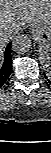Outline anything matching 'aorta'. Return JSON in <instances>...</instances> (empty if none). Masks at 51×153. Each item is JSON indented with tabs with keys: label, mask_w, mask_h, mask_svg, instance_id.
<instances>
[{
	"label": "aorta",
	"mask_w": 51,
	"mask_h": 153,
	"mask_svg": "<svg viewBox=\"0 0 51 153\" xmlns=\"http://www.w3.org/2000/svg\"><path fill=\"white\" fill-rule=\"evenodd\" d=\"M32 46L31 38L26 34L16 35L13 38L12 49L17 54L27 53Z\"/></svg>",
	"instance_id": "1"
}]
</instances>
